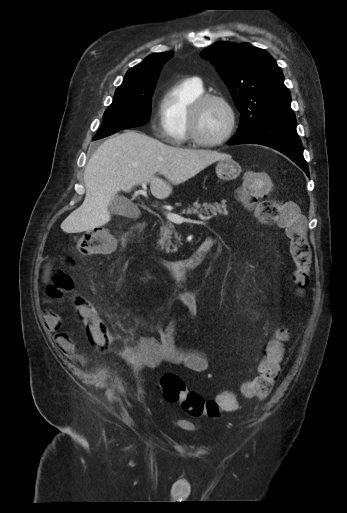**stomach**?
Masks as SVG:
<instances>
[{
	"label": "stomach",
	"instance_id": "0dacf381",
	"mask_svg": "<svg viewBox=\"0 0 347 513\" xmlns=\"http://www.w3.org/2000/svg\"><path fill=\"white\" fill-rule=\"evenodd\" d=\"M218 178L222 180H234L236 179L242 169L238 162L232 158L220 160L215 168Z\"/></svg>",
	"mask_w": 347,
	"mask_h": 513
}]
</instances>
